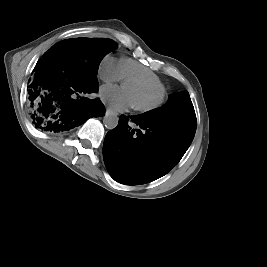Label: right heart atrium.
<instances>
[{"mask_svg":"<svg viewBox=\"0 0 267 267\" xmlns=\"http://www.w3.org/2000/svg\"><path fill=\"white\" fill-rule=\"evenodd\" d=\"M99 77L107 83L118 82L122 77L121 65L114 57L106 56L100 63Z\"/></svg>","mask_w":267,"mask_h":267,"instance_id":"right-heart-atrium-1","label":"right heart atrium"}]
</instances>
